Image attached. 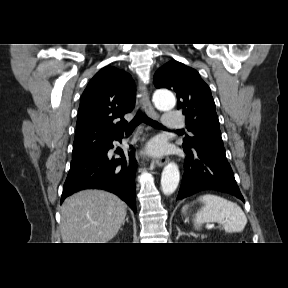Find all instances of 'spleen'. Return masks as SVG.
Listing matches in <instances>:
<instances>
[{
	"label": "spleen",
	"mask_w": 288,
	"mask_h": 288,
	"mask_svg": "<svg viewBox=\"0 0 288 288\" xmlns=\"http://www.w3.org/2000/svg\"><path fill=\"white\" fill-rule=\"evenodd\" d=\"M197 201L203 206L195 213V229H199L203 223L216 222L222 224L228 233L243 231L247 217L238 204L212 194L202 195ZM188 207L189 205L183 206V214H186Z\"/></svg>",
	"instance_id": "1"
}]
</instances>
